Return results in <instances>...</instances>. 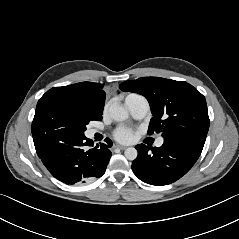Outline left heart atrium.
<instances>
[{"instance_id": "left-heart-atrium-1", "label": "left heart atrium", "mask_w": 239, "mask_h": 239, "mask_svg": "<svg viewBox=\"0 0 239 239\" xmlns=\"http://www.w3.org/2000/svg\"><path fill=\"white\" fill-rule=\"evenodd\" d=\"M114 138L123 143H128L133 139V130L126 126H120L115 129Z\"/></svg>"}]
</instances>
